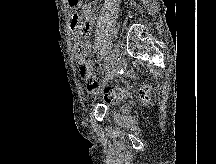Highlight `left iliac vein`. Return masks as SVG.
I'll use <instances>...</instances> for the list:
<instances>
[{
	"mask_svg": "<svg viewBox=\"0 0 216 164\" xmlns=\"http://www.w3.org/2000/svg\"><path fill=\"white\" fill-rule=\"evenodd\" d=\"M112 60L114 61L112 63V69L108 70L105 78L103 79V85H105L109 79L113 78L116 75L117 70L123 66L120 61V48L118 44H115L113 47Z\"/></svg>",
	"mask_w": 216,
	"mask_h": 164,
	"instance_id": "1",
	"label": "left iliac vein"
}]
</instances>
